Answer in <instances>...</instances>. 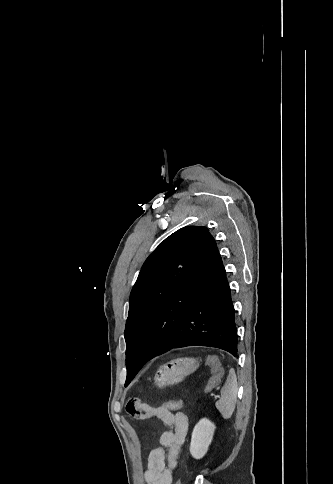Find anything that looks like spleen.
Masks as SVG:
<instances>
[{
    "mask_svg": "<svg viewBox=\"0 0 333 484\" xmlns=\"http://www.w3.org/2000/svg\"><path fill=\"white\" fill-rule=\"evenodd\" d=\"M215 384V380H212L207 387V391ZM237 378L234 369L229 371L225 385L221 389V397L215 403L216 408L221 413L224 419H229L235 409L237 399Z\"/></svg>",
    "mask_w": 333,
    "mask_h": 484,
    "instance_id": "1",
    "label": "spleen"
}]
</instances>
